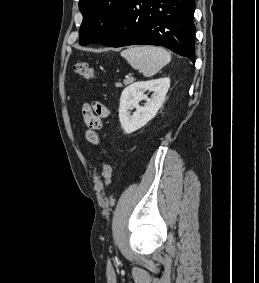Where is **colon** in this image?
Segmentation results:
<instances>
[{
	"instance_id": "5ec220e1",
	"label": "colon",
	"mask_w": 259,
	"mask_h": 283,
	"mask_svg": "<svg viewBox=\"0 0 259 283\" xmlns=\"http://www.w3.org/2000/svg\"><path fill=\"white\" fill-rule=\"evenodd\" d=\"M72 69L75 74L82 76L86 79L89 80L97 79V74L94 68L86 62H76L74 63ZM102 165H103V171H102L103 182L106 186H108L112 179V174H113L112 166L107 161H103Z\"/></svg>"
}]
</instances>
